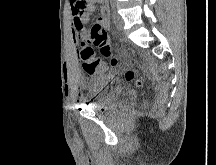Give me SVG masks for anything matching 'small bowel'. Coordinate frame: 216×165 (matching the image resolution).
I'll return each mask as SVG.
<instances>
[{
    "label": "small bowel",
    "instance_id": "c3829d8e",
    "mask_svg": "<svg viewBox=\"0 0 216 165\" xmlns=\"http://www.w3.org/2000/svg\"><path fill=\"white\" fill-rule=\"evenodd\" d=\"M97 3L101 4V9H102V13L98 18V23L101 24L102 26H108L109 17H108V9L106 6V0H86V5H75V9L72 6L73 18L71 23V39L75 48H77L78 41L85 40L87 38V33L85 31V24L89 21L91 14L95 11ZM85 71L91 77L97 76L99 74V73L89 72L86 69Z\"/></svg>",
    "mask_w": 216,
    "mask_h": 165
}]
</instances>
